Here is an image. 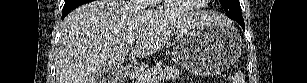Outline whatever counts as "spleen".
I'll list each match as a JSON object with an SVG mask.
<instances>
[{
    "label": "spleen",
    "instance_id": "3e777b00",
    "mask_svg": "<svg viewBox=\"0 0 307 83\" xmlns=\"http://www.w3.org/2000/svg\"><path fill=\"white\" fill-rule=\"evenodd\" d=\"M233 83H245V78L244 75L241 71H238L234 78H233Z\"/></svg>",
    "mask_w": 307,
    "mask_h": 83
}]
</instances>
